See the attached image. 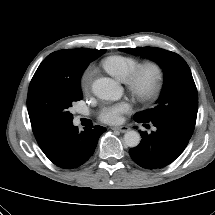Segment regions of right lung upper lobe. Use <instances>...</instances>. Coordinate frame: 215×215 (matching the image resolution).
I'll return each mask as SVG.
<instances>
[{"label": "right lung upper lobe", "instance_id": "obj_1", "mask_svg": "<svg viewBox=\"0 0 215 215\" xmlns=\"http://www.w3.org/2000/svg\"><path fill=\"white\" fill-rule=\"evenodd\" d=\"M97 49H86V48H78V49H72V50H60V51H71L75 53H85L90 54L95 52ZM57 51V52H60ZM32 130L35 135V138L42 149V151L46 150L57 138L58 136L64 131H48L45 130L35 124H32Z\"/></svg>", "mask_w": 215, "mask_h": 215}]
</instances>
